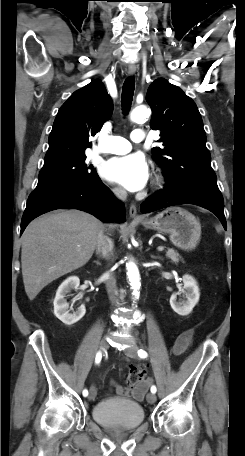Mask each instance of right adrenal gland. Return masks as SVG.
<instances>
[{
	"mask_svg": "<svg viewBox=\"0 0 245 456\" xmlns=\"http://www.w3.org/2000/svg\"><path fill=\"white\" fill-rule=\"evenodd\" d=\"M95 262H96L97 264H99V262H98V261H95Z\"/></svg>",
	"mask_w": 245,
	"mask_h": 456,
	"instance_id": "obj_1",
	"label": "right adrenal gland"
}]
</instances>
